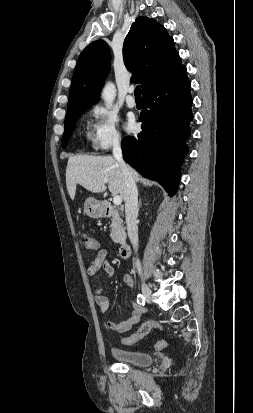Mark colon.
<instances>
[{"instance_id":"colon-1","label":"colon","mask_w":253,"mask_h":413,"mask_svg":"<svg viewBox=\"0 0 253 413\" xmlns=\"http://www.w3.org/2000/svg\"><path fill=\"white\" fill-rule=\"evenodd\" d=\"M82 243L83 246L89 250H96L98 248L97 241L89 234L82 235ZM152 329H161V325L154 320H148L140 326L137 332L124 338L123 343L126 345L134 344L144 338ZM164 346H166V343L164 341H159L155 345V348L159 349Z\"/></svg>"}]
</instances>
